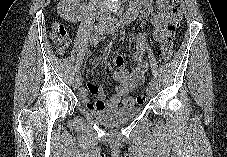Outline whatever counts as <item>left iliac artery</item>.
I'll return each instance as SVG.
<instances>
[{
	"label": "left iliac artery",
	"instance_id": "left-iliac-artery-1",
	"mask_svg": "<svg viewBox=\"0 0 227 157\" xmlns=\"http://www.w3.org/2000/svg\"><path fill=\"white\" fill-rule=\"evenodd\" d=\"M127 21H124L121 19L120 23L118 24L120 27H124L126 25ZM149 84H153L155 85V81L153 79H151Z\"/></svg>",
	"mask_w": 227,
	"mask_h": 157
}]
</instances>
